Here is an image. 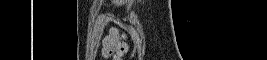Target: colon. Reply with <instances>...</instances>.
I'll return each instance as SVG.
<instances>
[{"label":"colon","instance_id":"obj_1","mask_svg":"<svg viewBox=\"0 0 267 60\" xmlns=\"http://www.w3.org/2000/svg\"><path fill=\"white\" fill-rule=\"evenodd\" d=\"M127 50L128 47L123 39V35L119 33H111L106 36L102 49L105 58L119 59L127 52Z\"/></svg>","mask_w":267,"mask_h":60}]
</instances>
